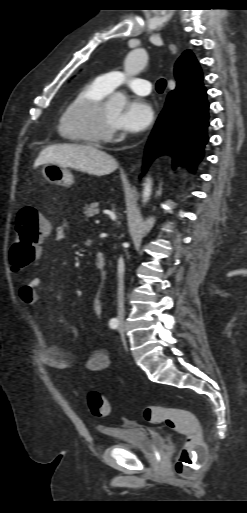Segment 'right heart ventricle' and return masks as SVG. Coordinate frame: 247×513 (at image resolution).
Returning <instances> with one entry per match:
<instances>
[{
    "label": "right heart ventricle",
    "mask_w": 247,
    "mask_h": 513,
    "mask_svg": "<svg viewBox=\"0 0 247 513\" xmlns=\"http://www.w3.org/2000/svg\"><path fill=\"white\" fill-rule=\"evenodd\" d=\"M110 93V90L106 89L101 83L95 79L87 84H85L75 95L74 97L69 101L65 109L63 110L60 119H59V133L61 137L69 142L74 143H81L83 142L82 139L77 138L75 136L70 135L65 130V120L68 116V114L76 109L77 107L87 103L88 101L92 100H101L104 99L108 94Z\"/></svg>",
    "instance_id": "e07e8e85"
}]
</instances>
